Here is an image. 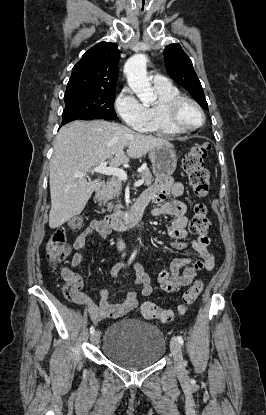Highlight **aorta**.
Segmentation results:
<instances>
[{
	"label": "aorta",
	"instance_id": "762f6f07",
	"mask_svg": "<svg viewBox=\"0 0 266 415\" xmlns=\"http://www.w3.org/2000/svg\"><path fill=\"white\" fill-rule=\"evenodd\" d=\"M147 57L144 54H135L124 65L129 87L147 105L153 101L154 94L147 77Z\"/></svg>",
	"mask_w": 266,
	"mask_h": 415
}]
</instances>
